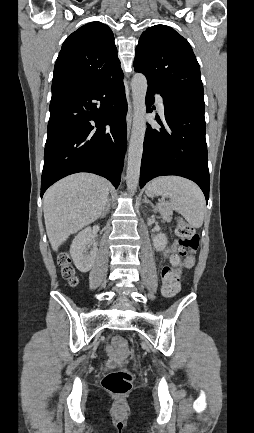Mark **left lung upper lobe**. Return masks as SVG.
Instances as JSON below:
<instances>
[{"mask_svg": "<svg viewBox=\"0 0 254 433\" xmlns=\"http://www.w3.org/2000/svg\"><path fill=\"white\" fill-rule=\"evenodd\" d=\"M134 69L162 96L205 106L200 67L188 41L165 25L147 28L139 39Z\"/></svg>", "mask_w": 254, "mask_h": 433, "instance_id": "left-lung-upper-lobe-1", "label": "left lung upper lobe"}]
</instances>
